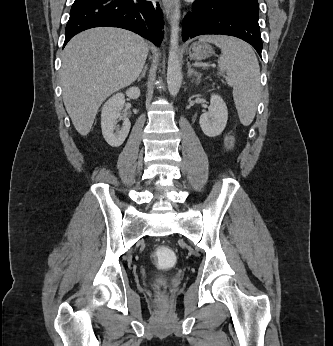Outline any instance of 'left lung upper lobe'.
Segmentation results:
<instances>
[{
  "label": "left lung upper lobe",
  "instance_id": "1",
  "mask_svg": "<svg viewBox=\"0 0 333 346\" xmlns=\"http://www.w3.org/2000/svg\"><path fill=\"white\" fill-rule=\"evenodd\" d=\"M229 7H231L235 11L244 12L256 19H258V1L257 0H218Z\"/></svg>",
  "mask_w": 333,
  "mask_h": 346
}]
</instances>
